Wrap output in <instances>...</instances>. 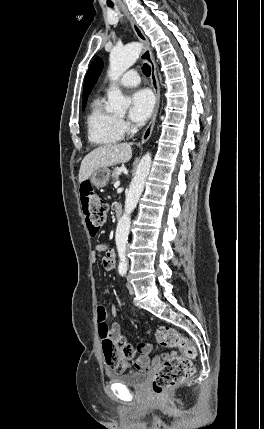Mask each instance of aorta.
<instances>
[{"instance_id":"obj_1","label":"aorta","mask_w":264,"mask_h":429,"mask_svg":"<svg viewBox=\"0 0 264 429\" xmlns=\"http://www.w3.org/2000/svg\"><path fill=\"white\" fill-rule=\"evenodd\" d=\"M141 44L138 42L130 43L124 47H115L110 53L109 76L112 80H117L129 67H131L139 57ZM131 100L124 97L120 89L113 88L108 92L107 110L110 112H125L129 107ZM151 154L143 156L137 166L135 176L133 177L129 191L126 195L125 209L122 217L119 219L115 242L119 256V268L126 269L128 266L126 258V246L131 224V213L136 208L138 200L144 190L146 179L151 168Z\"/></svg>"}]
</instances>
